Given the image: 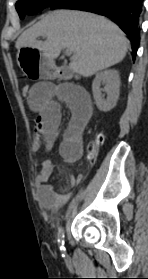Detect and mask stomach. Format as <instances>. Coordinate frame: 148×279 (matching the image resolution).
Here are the masks:
<instances>
[{
  "label": "stomach",
  "instance_id": "1",
  "mask_svg": "<svg viewBox=\"0 0 148 279\" xmlns=\"http://www.w3.org/2000/svg\"><path fill=\"white\" fill-rule=\"evenodd\" d=\"M15 59L27 82H57L54 62L44 50H16Z\"/></svg>",
  "mask_w": 148,
  "mask_h": 279
}]
</instances>
